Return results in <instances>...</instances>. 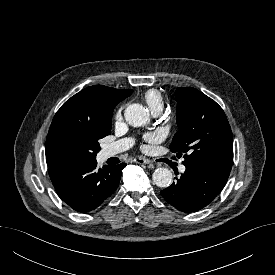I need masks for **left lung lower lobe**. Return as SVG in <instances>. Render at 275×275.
Listing matches in <instances>:
<instances>
[{
  "label": "left lung lower lobe",
  "instance_id": "1",
  "mask_svg": "<svg viewBox=\"0 0 275 275\" xmlns=\"http://www.w3.org/2000/svg\"><path fill=\"white\" fill-rule=\"evenodd\" d=\"M186 166L177 181L160 193L166 202L185 213L210 204L221 192L230 171L210 166Z\"/></svg>",
  "mask_w": 275,
  "mask_h": 275
}]
</instances>
